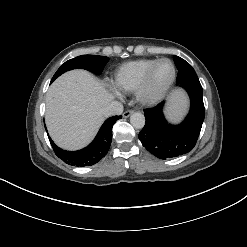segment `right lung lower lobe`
<instances>
[{
	"label": "right lung lower lobe",
	"instance_id": "right-lung-lower-lobe-1",
	"mask_svg": "<svg viewBox=\"0 0 247 247\" xmlns=\"http://www.w3.org/2000/svg\"><path fill=\"white\" fill-rule=\"evenodd\" d=\"M54 80H51L53 82ZM122 116L108 118L101 126L97 136L86 148L78 151H65L54 144L49 137V141L55 154L67 164L76 166H91L99 162L108 152L112 141L113 124Z\"/></svg>",
	"mask_w": 247,
	"mask_h": 247
}]
</instances>
